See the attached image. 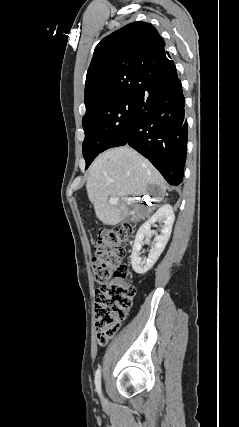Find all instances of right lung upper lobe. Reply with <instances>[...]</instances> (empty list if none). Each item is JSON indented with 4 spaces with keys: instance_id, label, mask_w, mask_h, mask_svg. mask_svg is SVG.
<instances>
[{
    "instance_id": "cb5924a9",
    "label": "right lung upper lobe",
    "mask_w": 239,
    "mask_h": 427,
    "mask_svg": "<svg viewBox=\"0 0 239 427\" xmlns=\"http://www.w3.org/2000/svg\"><path fill=\"white\" fill-rule=\"evenodd\" d=\"M177 77L176 67L156 28L133 22L96 46L85 83V106L138 97L160 82Z\"/></svg>"
}]
</instances>
